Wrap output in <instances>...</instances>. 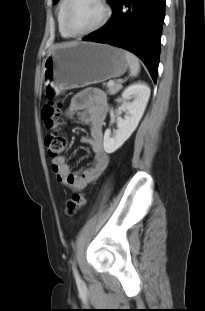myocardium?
<instances>
[{
  "instance_id": "f54148a6",
  "label": "myocardium",
  "mask_w": 205,
  "mask_h": 311,
  "mask_svg": "<svg viewBox=\"0 0 205 311\" xmlns=\"http://www.w3.org/2000/svg\"><path fill=\"white\" fill-rule=\"evenodd\" d=\"M97 2L101 5L103 8L104 14L102 19L92 28L85 30V31H75L72 29L70 22H69V15H70V10L71 7L74 3V0H67L66 6H65V11H64V26L67 32L73 36V37H83L89 34H92L101 28H103L108 21L110 20L111 17V7L108 3V0H97Z\"/></svg>"
}]
</instances>
